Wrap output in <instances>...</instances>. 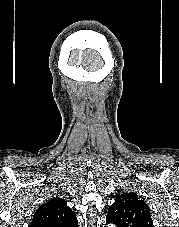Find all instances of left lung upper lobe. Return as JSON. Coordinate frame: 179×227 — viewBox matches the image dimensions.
I'll list each match as a JSON object with an SVG mask.
<instances>
[{
    "label": "left lung upper lobe",
    "instance_id": "1",
    "mask_svg": "<svg viewBox=\"0 0 179 227\" xmlns=\"http://www.w3.org/2000/svg\"><path fill=\"white\" fill-rule=\"evenodd\" d=\"M107 223L116 227H154L148 205L135 193H119L109 207Z\"/></svg>",
    "mask_w": 179,
    "mask_h": 227
}]
</instances>
